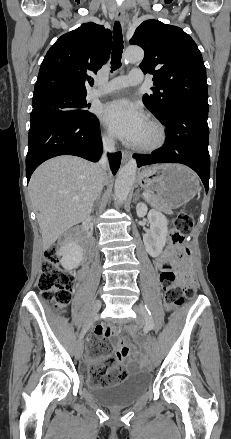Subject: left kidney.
<instances>
[{"mask_svg": "<svg viewBox=\"0 0 231 439\" xmlns=\"http://www.w3.org/2000/svg\"><path fill=\"white\" fill-rule=\"evenodd\" d=\"M148 208L145 203H138L136 212L138 217H143L147 214ZM148 220L150 223V230L143 235V242L148 254L152 257H157L161 254L168 234L167 218L157 210H150L148 213Z\"/></svg>", "mask_w": 231, "mask_h": 439, "instance_id": "left-kidney-1", "label": "left kidney"}]
</instances>
